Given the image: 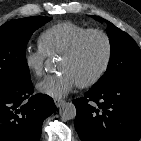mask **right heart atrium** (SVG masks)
Returning a JSON list of instances; mask_svg holds the SVG:
<instances>
[{
  "mask_svg": "<svg viewBox=\"0 0 141 141\" xmlns=\"http://www.w3.org/2000/svg\"><path fill=\"white\" fill-rule=\"evenodd\" d=\"M46 51L38 45L33 48L28 46L24 51V64L26 69L35 77H40L44 73L45 62L48 58Z\"/></svg>",
  "mask_w": 141,
  "mask_h": 141,
  "instance_id": "obj_1",
  "label": "right heart atrium"
}]
</instances>
